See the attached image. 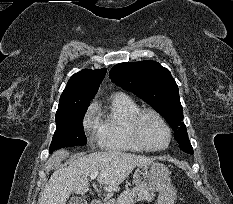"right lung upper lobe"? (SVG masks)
<instances>
[{"label": "right lung upper lobe", "instance_id": "cb5924a9", "mask_svg": "<svg viewBox=\"0 0 233 204\" xmlns=\"http://www.w3.org/2000/svg\"><path fill=\"white\" fill-rule=\"evenodd\" d=\"M106 69H84L74 74L68 81L59 101L58 108L89 105L99 88Z\"/></svg>", "mask_w": 233, "mask_h": 204}]
</instances>
